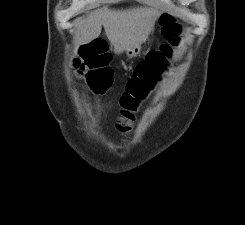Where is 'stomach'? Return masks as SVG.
Segmentation results:
<instances>
[{"label": "stomach", "instance_id": "0dacf381", "mask_svg": "<svg viewBox=\"0 0 245 225\" xmlns=\"http://www.w3.org/2000/svg\"><path fill=\"white\" fill-rule=\"evenodd\" d=\"M141 51V44H136L133 47L126 50V54L129 58L136 57Z\"/></svg>", "mask_w": 245, "mask_h": 225}]
</instances>
